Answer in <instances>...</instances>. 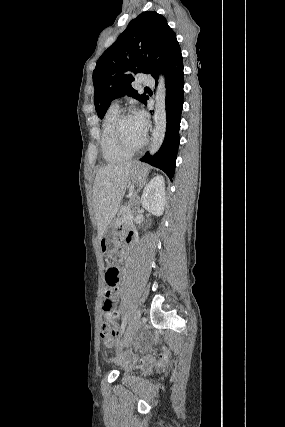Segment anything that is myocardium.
<instances>
[{"mask_svg":"<svg viewBox=\"0 0 285 427\" xmlns=\"http://www.w3.org/2000/svg\"><path fill=\"white\" fill-rule=\"evenodd\" d=\"M133 116L134 115L131 112L120 113L116 118L114 128H113L114 136H115L116 141L119 144V146L122 149H124L125 151L131 152V153H134V152L141 150L148 142L147 137H145L144 140L137 145H131L126 141L124 134H123V131H122L123 122L127 118L133 117Z\"/></svg>","mask_w":285,"mask_h":427,"instance_id":"1","label":"myocardium"}]
</instances>
